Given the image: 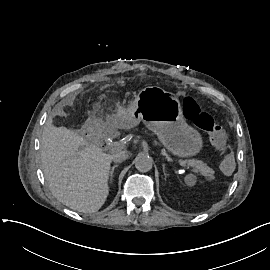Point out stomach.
<instances>
[{"label":"stomach","instance_id":"0dacf381","mask_svg":"<svg viewBox=\"0 0 270 270\" xmlns=\"http://www.w3.org/2000/svg\"><path fill=\"white\" fill-rule=\"evenodd\" d=\"M120 117L125 127L128 123L134 127L142 121L176 158H191L203 149V137L186 122L178 96L159 86L141 89Z\"/></svg>","mask_w":270,"mask_h":270}]
</instances>
